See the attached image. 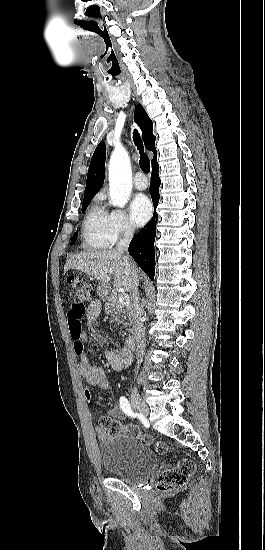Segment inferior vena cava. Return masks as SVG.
I'll return each instance as SVG.
<instances>
[{"label": "inferior vena cava", "instance_id": "602c4592", "mask_svg": "<svg viewBox=\"0 0 265 550\" xmlns=\"http://www.w3.org/2000/svg\"><path fill=\"white\" fill-rule=\"evenodd\" d=\"M134 234V228L131 225H127L124 231L122 239L118 242L116 246V251L123 255L127 254L130 241ZM124 258L126 261H129V256L125 255ZM133 285H132V296H133V319H134V341H135V354L138 359L137 369L142 362L145 349V327L142 319V310L139 304V293H138V276L136 271L132 272Z\"/></svg>", "mask_w": 265, "mask_h": 550}]
</instances>
